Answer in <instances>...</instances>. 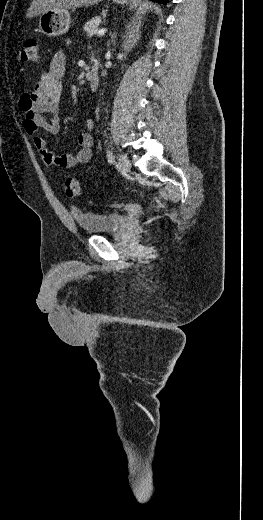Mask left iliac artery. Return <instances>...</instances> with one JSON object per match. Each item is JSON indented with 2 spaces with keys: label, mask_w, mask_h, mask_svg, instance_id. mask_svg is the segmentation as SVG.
Returning <instances> with one entry per match:
<instances>
[{
  "label": "left iliac artery",
  "mask_w": 263,
  "mask_h": 520,
  "mask_svg": "<svg viewBox=\"0 0 263 520\" xmlns=\"http://www.w3.org/2000/svg\"><path fill=\"white\" fill-rule=\"evenodd\" d=\"M107 159H108V162L111 164L114 162V155H113L112 151L109 149L107 150Z\"/></svg>",
  "instance_id": "obj_1"
}]
</instances>
